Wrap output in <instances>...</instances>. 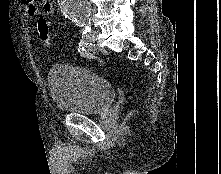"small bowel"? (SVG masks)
<instances>
[{"label": "small bowel", "mask_w": 221, "mask_h": 174, "mask_svg": "<svg viewBox=\"0 0 221 174\" xmlns=\"http://www.w3.org/2000/svg\"><path fill=\"white\" fill-rule=\"evenodd\" d=\"M26 11L29 16L34 17L39 14V8L35 0H23ZM55 11L54 5L49 0H45L43 3V12L45 15H52Z\"/></svg>", "instance_id": "obj_1"}]
</instances>
